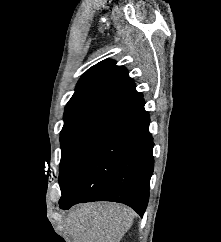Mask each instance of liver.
<instances>
[{"mask_svg": "<svg viewBox=\"0 0 221 242\" xmlns=\"http://www.w3.org/2000/svg\"><path fill=\"white\" fill-rule=\"evenodd\" d=\"M134 212L114 203H87L70 212L66 224L73 242H120Z\"/></svg>", "mask_w": 221, "mask_h": 242, "instance_id": "1", "label": "liver"}]
</instances>
